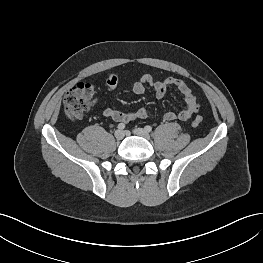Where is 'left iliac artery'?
Returning a JSON list of instances; mask_svg holds the SVG:
<instances>
[{
	"instance_id": "obj_1",
	"label": "left iliac artery",
	"mask_w": 263,
	"mask_h": 263,
	"mask_svg": "<svg viewBox=\"0 0 263 263\" xmlns=\"http://www.w3.org/2000/svg\"><path fill=\"white\" fill-rule=\"evenodd\" d=\"M144 129L147 131V132H151L152 131V127L150 125H146L144 127Z\"/></svg>"
}]
</instances>
